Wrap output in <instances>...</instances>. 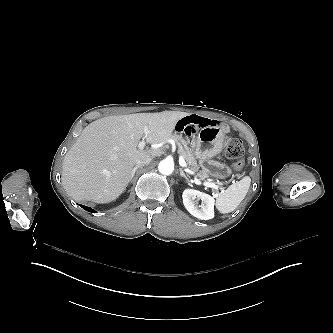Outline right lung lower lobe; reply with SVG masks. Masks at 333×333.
I'll return each instance as SVG.
<instances>
[{
  "mask_svg": "<svg viewBox=\"0 0 333 333\" xmlns=\"http://www.w3.org/2000/svg\"><path fill=\"white\" fill-rule=\"evenodd\" d=\"M81 207H82L83 209H85L86 211H88V212H95L92 208H89V207H87V206H83V205H81Z\"/></svg>",
  "mask_w": 333,
  "mask_h": 333,
  "instance_id": "right-lung-lower-lobe-1",
  "label": "right lung lower lobe"
}]
</instances>
